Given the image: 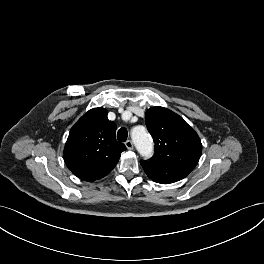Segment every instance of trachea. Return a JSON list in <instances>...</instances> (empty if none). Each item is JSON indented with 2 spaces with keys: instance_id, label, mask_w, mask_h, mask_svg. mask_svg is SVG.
<instances>
[{
  "instance_id": "trachea-1",
  "label": "trachea",
  "mask_w": 264,
  "mask_h": 264,
  "mask_svg": "<svg viewBox=\"0 0 264 264\" xmlns=\"http://www.w3.org/2000/svg\"><path fill=\"white\" fill-rule=\"evenodd\" d=\"M128 132L126 128H120L117 132V139L120 142H125L127 140Z\"/></svg>"
}]
</instances>
